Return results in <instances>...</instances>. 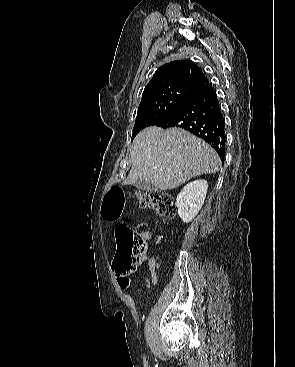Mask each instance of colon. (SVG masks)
<instances>
[{
  "label": "colon",
  "mask_w": 295,
  "mask_h": 367,
  "mask_svg": "<svg viewBox=\"0 0 295 367\" xmlns=\"http://www.w3.org/2000/svg\"><path fill=\"white\" fill-rule=\"evenodd\" d=\"M138 203L142 208H153L159 215L172 218L176 213L174 198L159 189H149L138 194ZM125 205V194L121 187H111L106 195L103 216L116 221L121 217ZM117 250L114 269L118 274L127 275L143 260L147 245L142 236L121 223L115 231Z\"/></svg>",
  "instance_id": "obj_1"
}]
</instances>
